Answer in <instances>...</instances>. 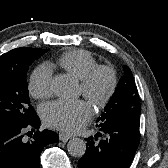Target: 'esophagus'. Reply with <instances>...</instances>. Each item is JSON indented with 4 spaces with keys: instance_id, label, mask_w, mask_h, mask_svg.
<instances>
[{
    "instance_id": "obj_1",
    "label": "esophagus",
    "mask_w": 168,
    "mask_h": 168,
    "mask_svg": "<svg viewBox=\"0 0 168 168\" xmlns=\"http://www.w3.org/2000/svg\"><path fill=\"white\" fill-rule=\"evenodd\" d=\"M72 136L66 133H59V139L63 142L68 141L69 139H71Z\"/></svg>"
}]
</instances>
